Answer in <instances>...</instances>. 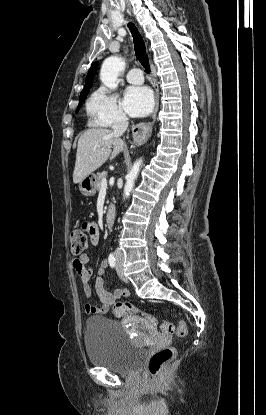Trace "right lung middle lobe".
I'll use <instances>...</instances> for the list:
<instances>
[{"mask_svg":"<svg viewBox=\"0 0 266 415\" xmlns=\"http://www.w3.org/2000/svg\"><path fill=\"white\" fill-rule=\"evenodd\" d=\"M86 96L87 95L80 97V99H79V105H78V108L77 109L80 108V106H81L82 102L84 101V99L86 98Z\"/></svg>","mask_w":266,"mask_h":415,"instance_id":"obj_1","label":"right lung middle lobe"}]
</instances>
